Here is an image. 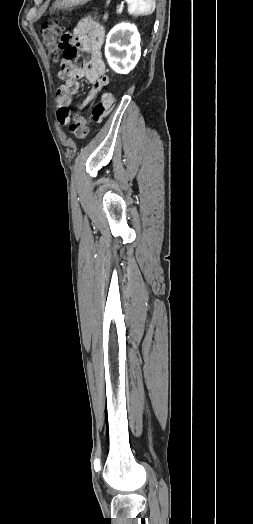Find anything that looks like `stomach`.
I'll return each mask as SVG.
<instances>
[{"mask_svg": "<svg viewBox=\"0 0 253 524\" xmlns=\"http://www.w3.org/2000/svg\"><path fill=\"white\" fill-rule=\"evenodd\" d=\"M89 0H56L53 7L54 9H65L69 7H75L87 3Z\"/></svg>", "mask_w": 253, "mask_h": 524, "instance_id": "obj_1", "label": "stomach"}]
</instances>
